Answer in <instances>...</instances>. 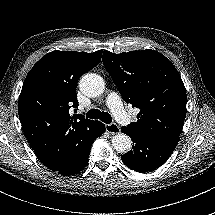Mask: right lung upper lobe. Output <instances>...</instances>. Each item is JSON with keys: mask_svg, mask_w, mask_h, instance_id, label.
I'll return each instance as SVG.
<instances>
[{"mask_svg": "<svg viewBox=\"0 0 215 215\" xmlns=\"http://www.w3.org/2000/svg\"><path fill=\"white\" fill-rule=\"evenodd\" d=\"M102 50L94 53L53 51L43 56L28 73L19 96L18 112L32 149L49 169L66 159L72 134L93 121L80 114L76 86L84 73L99 64Z\"/></svg>", "mask_w": 215, "mask_h": 215, "instance_id": "right-lung-upper-lobe-1", "label": "right lung upper lobe"}]
</instances>
